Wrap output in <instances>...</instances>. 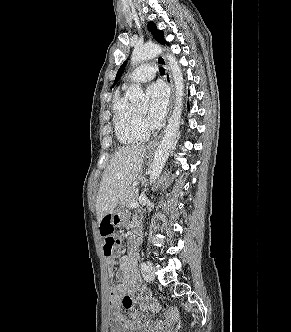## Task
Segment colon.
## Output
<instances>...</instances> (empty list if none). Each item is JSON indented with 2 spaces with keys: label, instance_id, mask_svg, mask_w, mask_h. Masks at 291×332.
<instances>
[{
  "label": "colon",
  "instance_id": "colon-1",
  "mask_svg": "<svg viewBox=\"0 0 291 332\" xmlns=\"http://www.w3.org/2000/svg\"><path fill=\"white\" fill-rule=\"evenodd\" d=\"M100 233L103 244V251L106 257H112L115 253L119 240L116 236L115 228L111 219L106 217L100 226ZM172 310H170L171 312Z\"/></svg>",
  "mask_w": 291,
  "mask_h": 332
}]
</instances>
